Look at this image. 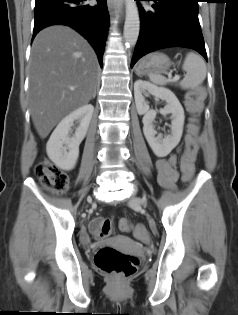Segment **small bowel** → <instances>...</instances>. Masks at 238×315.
Wrapping results in <instances>:
<instances>
[{
  "label": "small bowel",
  "instance_id": "c3829d8e",
  "mask_svg": "<svg viewBox=\"0 0 238 315\" xmlns=\"http://www.w3.org/2000/svg\"><path fill=\"white\" fill-rule=\"evenodd\" d=\"M157 179L159 184L167 189L172 190L175 187V183L178 180L179 173L176 169V156L172 155L168 159H160L157 161ZM192 175L183 176L185 180L191 178ZM142 240L146 241V238H141Z\"/></svg>",
  "mask_w": 238,
  "mask_h": 315
}]
</instances>
